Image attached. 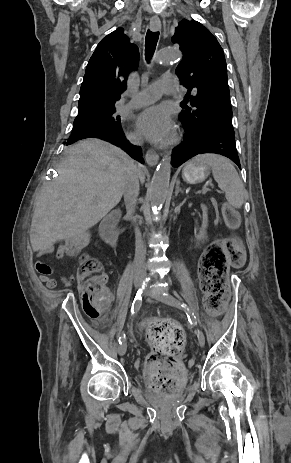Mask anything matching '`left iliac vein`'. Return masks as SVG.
<instances>
[{
    "label": "left iliac vein",
    "instance_id": "left-iliac-vein-1",
    "mask_svg": "<svg viewBox=\"0 0 291 463\" xmlns=\"http://www.w3.org/2000/svg\"><path fill=\"white\" fill-rule=\"evenodd\" d=\"M145 294L156 298V300H158V301H160V302H162V303H164V304H166L168 306H173V307L180 308L179 302L173 297H166V296H163L161 294H153L151 292V290H147ZM196 334H197L199 345L201 347H204V345H205L204 333L200 329H197Z\"/></svg>",
    "mask_w": 291,
    "mask_h": 463
}]
</instances>
